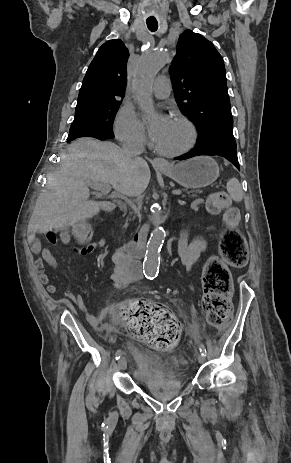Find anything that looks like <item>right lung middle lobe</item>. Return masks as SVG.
I'll return each mask as SVG.
<instances>
[{
	"mask_svg": "<svg viewBox=\"0 0 291 463\" xmlns=\"http://www.w3.org/2000/svg\"><path fill=\"white\" fill-rule=\"evenodd\" d=\"M120 102H111L101 108L74 118L67 142L79 137L113 138V122Z\"/></svg>",
	"mask_w": 291,
	"mask_h": 463,
	"instance_id": "1",
	"label": "right lung middle lobe"
}]
</instances>
